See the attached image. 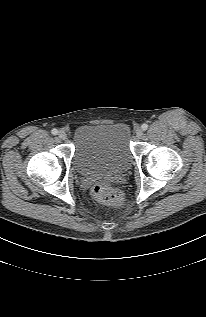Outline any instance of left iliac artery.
<instances>
[{
    "label": "left iliac artery",
    "mask_w": 206,
    "mask_h": 317,
    "mask_svg": "<svg viewBox=\"0 0 206 317\" xmlns=\"http://www.w3.org/2000/svg\"><path fill=\"white\" fill-rule=\"evenodd\" d=\"M142 129H143V130H147V129H148V125L144 123V124L142 125Z\"/></svg>",
    "instance_id": "obj_1"
}]
</instances>
